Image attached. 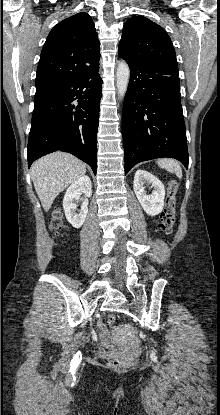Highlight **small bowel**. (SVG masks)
<instances>
[{
  "label": "small bowel",
  "instance_id": "obj_1",
  "mask_svg": "<svg viewBox=\"0 0 220 415\" xmlns=\"http://www.w3.org/2000/svg\"><path fill=\"white\" fill-rule=\"evenodd\" d=\"M101 340L103 342L104 345H108L109 344V339L107 338L106 334L104 332L101 333Z\"/></svg>",
  "mask_w": 220,
  "mask_h": 415
}]
</instances>
